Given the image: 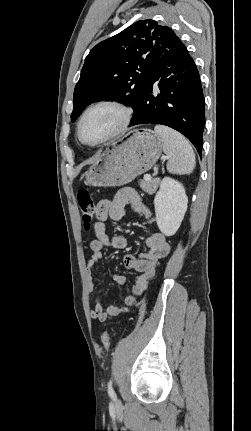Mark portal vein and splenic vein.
<instances>
[{
	"mask_svg": "<svg viewBox=\"0 0 251 431\" xmlns=\"http://www.w3.org/2000/svg\"><path fill=\"white\" fill-rule=\"evenodd\" d=\"M164 159H168V157H164ZM144 179L147 180V181H149V180L152 179V177H151V175L146 174V175H144Z\"/></svg>",
	"mask_w": 251,
	"mask_h": 431,
	"instance_id": "1",
	"label": "portal vein and splenic vein"
}]
</instances>
